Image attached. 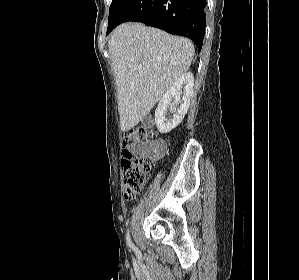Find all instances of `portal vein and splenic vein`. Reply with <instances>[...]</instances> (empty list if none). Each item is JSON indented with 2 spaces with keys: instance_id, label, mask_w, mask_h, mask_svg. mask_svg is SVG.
I'll use <instances>...</instances> for the list:
<instances>
[{
  "instance_id": "18ae733b",
  "label": "portal vein and splenic vein",
  "mask_w": 299,
  "mask_h": 280,
  "mask_svg": "<svg viewBox=\"0 0 299 280\" xmlns=\"http://www.w3.org/2000/svg\"><path fill=\"white\" fill-rule=\"evenodd\" d=\"M139 73H143V70L141 68L138 69Z\"/></svg>"
}]
</instances>
